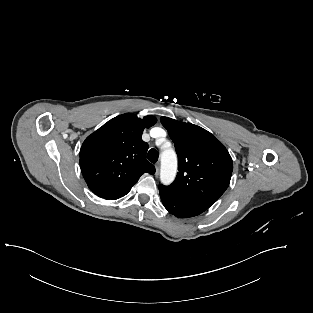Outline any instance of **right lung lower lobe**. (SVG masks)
I'll return each mask as SVG.
<instances>
[{
	"instance_id": "obj_1",
	"label": "right lung lower lobe",
	"mask_w": 313,
	"mask_h": 313,
	"mask_svg": "<svg viewBox=\"0 0 313 313\" xmlns=\"http://www.w3.org/2000/svg\"><path fill=\"white\" fill-rule=\"evenodd\" d=\"M130 190H131V189H127V190H125V191H122V192L113 194V195H111V196L106 197L105 199H107V200H115V199L121 198V197H123L124 195H126Z\"/></svg>"
}]
</instances>
